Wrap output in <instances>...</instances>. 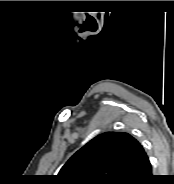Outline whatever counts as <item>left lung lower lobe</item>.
Masks as SVG:
<instances>
[{
  "instance_id": "0a47b994",
  "label": "left lung lower lobe",
  "mask_w": 174,
  "mask_h": 184,
  "mask_svg": "<svg viewBox=\"0 0 174 184\" xmlns=\"http://www.w3.org/2000/svg\"><path fill=\"white\" fill-rule=\"evenodd\" d=\"M151 164L141 146L131 169V175L126 184H149L153 180Z\"/></svg>"
}]
</instances>
